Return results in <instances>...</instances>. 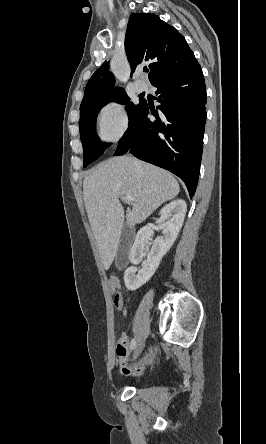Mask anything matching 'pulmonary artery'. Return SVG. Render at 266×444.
Segmentation results:
<instances>
[{
  "instance_id": "pulmonary-artery-1",
  "label": "pulmonary artery",
  "mask_w": 266,
  "mask_h": 444,
  "mask_svg": "<svg viewBox=\"0 0 266 444\" xmlns=\"http://www.w3.org/2000/svg\"><path fill=\"white\" fill-rule=\"evenodd\" d=\"M133 86H134V89H135L138 93L143 92V91L145 90V88H146L145 83L142 82V81H139V80H134V81H133Z\"/></svg>"
}]
</instances>
